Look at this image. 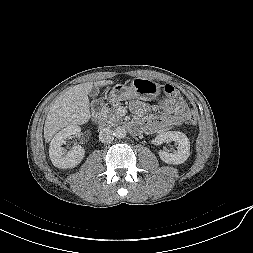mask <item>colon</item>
Masks as SVG:
<instances>
[{
    "mask_svg": "<svg viewBox=\"0 0 253 253\" xmlns=\"http://www.w3.org/2000/svg\"><path fill=\"white\" fill-rule=\"evenodd\" d=\"M165 93L173 98L179 97V91L172 85L168 84L164 87ZM198 121V116L196 113L192 112L188 118V122L195 125Z\"/></svg>",
    "mask_w": 253,
    "mask_h": 253,
    "instance_id": "obj_1",
    "label": "colon"
}]
</instances>
